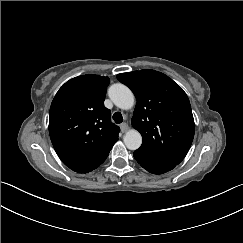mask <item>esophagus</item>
I'll use <instances>...</instances> for the list:
<instances>
[{
    "label": "esophagus",
    "instance_id": "1",
    "mask_svg": "<svg viewBox=\"0 0 243 243\" xmlns=\"http://www.w3.org/2000/svg\"><path fill=\"white\" fill-rule=\"evenodd\" d=\"M128 128H129V126L127 123H122L120 125L121 132H123V133L126 132L128 130Z\"/></svg>",
    "mask_w": 243,
    "mask_h": 243
}]
</instances>
